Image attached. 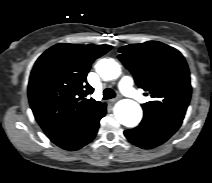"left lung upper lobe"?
<instances>
[{"label":"left lung upper lobe","instance_id":"left-lung-upper-lobe-1","mask_svg":"<svg viewBox=\"0 0 212 183\" xmlns=\"http://www.w3.org/2000/svg\"><path fill=\"white\" fill-rule=\"evenodd\" d=\"M119 52L136 84L152 97L142 105L144 113L181 124L191 96L189 69L182 54L158 41L123 46Z\"/></svg>","mask_w":212,"mask_h":183}]
</instances>
